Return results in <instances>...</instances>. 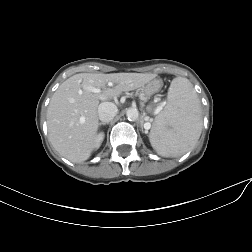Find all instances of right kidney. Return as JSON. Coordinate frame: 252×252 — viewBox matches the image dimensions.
<instances>
[{"mask_svg": "<svg viewBox=\"0 0 252 252\" xmlns=\"http://www.w3.org/2000/svg\"><path fill=\"white\" fill-rule=\"evenodd\" d=\"M104 139V134L103 133H100L97 137H96V140H95V143H94V148H98L101 144V142L103 141Z\"/></svg>", "mask_w": 252, "mask_h": 252, "instance_id": "right-kidney-1", "label": "right kidney"}]
</instances>
